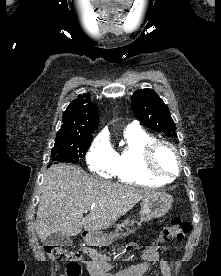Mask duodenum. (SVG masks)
I'll return each instance as SVG.
<instances>
[{
	"label": "duodenum",
	"instance_id": "obj_1",
	"mask_svg": "<svg viewBox=\"0 0 221 276\" xmlns=\"http://www.w3.org/2000/svg\"><path fill=\"white\" fill-rule=\"evenodd\" d=\"M83 236H87V233H86V232H83Z\"/></svg>",
	"mask_w": 221,
	"mask_h": 276
}]
</instances>
